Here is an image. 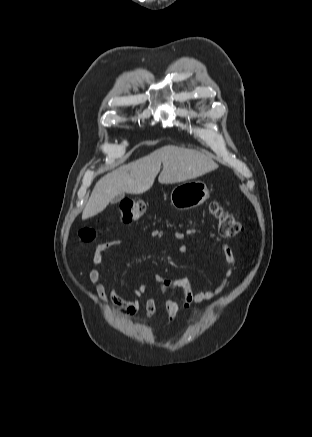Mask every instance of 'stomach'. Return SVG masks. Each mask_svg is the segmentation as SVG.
I'll use <instances>...</instances> for the list:
<instances>
[{
	"mask_svg": "<svg viewBox=\"0 0 312 437\" xmlns=\"http://www.w3.org/2000/svg\"><path fill=\"white\" fill-rule=\"evenodd\" d=\"M209 198V190L202 181H186L176 186L170 195L172 206L180 211L200 206Z\"/></svg>",
	"mask_w": 312,
	"mask_h": 437,
	"instance_id": "0dacf381",
	"label": "stomach"
}]
</instances>
